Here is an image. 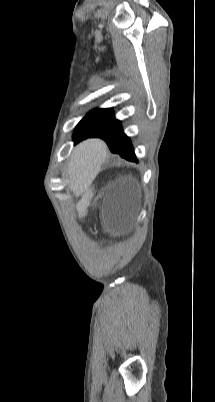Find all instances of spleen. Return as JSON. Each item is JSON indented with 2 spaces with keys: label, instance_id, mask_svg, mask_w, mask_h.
Returning a JSON list of instances; mask_svg holds the SVG:
<instances>
[{
  "label": "spleen",
  "instance_id": "spleen-1",
  "mask_svg": "<svg viewBox=\"0 0 215 402\" xmlns=\"http://www.w3.org/2000/svg\"><path fill=\"white\" fill-rule=\"evenodd\" d=\"M104 158L105 151L100 138L85 139L83 143H80V149L77 151V165L74 166L77 181L74 182V187H80V182H92ZM61 175L66 177L68 172L63 170Z\"/></svg>",
  "mask_w": 215,
  "mask_h": 402
}]
</instances>
